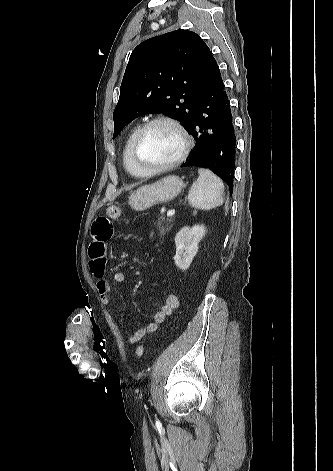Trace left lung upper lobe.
Returning a JSON list of instances; mask_svg holds the SVG:
<instances>
[{
    "instance_id": "1",
    "label": "left lung upper lobe",
    "mask_w": 333,
    "mask_h": 471,
    "mask_svg": "<svg viewBox=\"0 0 333 471\" xmlns=\"http://www.w3.org/2000/svg\"><path fill=\"white\" fill-rule=\"evenodd\" d=\"M216 64L209 47L192 31L179 29L140 43L121 83L113 138L147 113H162L187 129Z\"/></svg>"
}]
</instances>
